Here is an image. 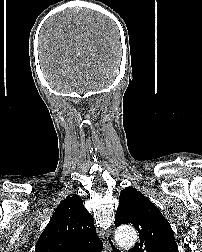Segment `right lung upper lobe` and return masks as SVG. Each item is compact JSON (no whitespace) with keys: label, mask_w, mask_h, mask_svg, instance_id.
Wrapping results in <instances>:
<instances>
[{"label":"right lung upper lobe","mask_w":202,"mask_h":252,"mask_svg":"<svg viewBox=\"0 0 202 252\" xmlns=\"http://www.w3.org/2000/svg\"><path fill=\"white\" fill-rule=\"evenodd\" d=\"M92 215L78 196H67L37 241L35 252H100Z\"/></svg>","instance_id":"right-lung-upper-lobe-1"}]
</instances>
